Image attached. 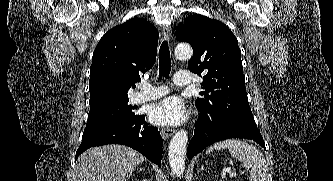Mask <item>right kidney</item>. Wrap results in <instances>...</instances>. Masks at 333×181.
<instances>
[{
    "label": "right kidney",
    "instance_id": "1",
    "mask_svg": "<svg viewBox=\"0 0 333 181\" xmlns=\"http://www.w3.org/2000/svg\"><path fill=\"white\" fill-rule=\"evenodd\" d=\"M142 181H149V180H147V179H144V180H142Z\"/></svg>",
    "mask_w": 333,
    "mask_h": 181
}]
</instances>
